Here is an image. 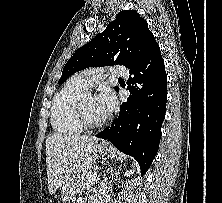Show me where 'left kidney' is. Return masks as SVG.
<instances>
[{
    "mask_svg": "<svg viewBox=\"0 0 222 203\" xmlns=\"http://www.w3.org/2000/svg\"><path fill=\"white\" fill-rule=\"evenodd\" d=\"M134 169H132V170H129V171H126L125 172V176H130L131 174H133L134 173Z\"/></svg>",
    "mask_w": 222,
    "mask_h": 203,
    "instance_id": "1",
    "label": "left kidney"
}]
</instances>
